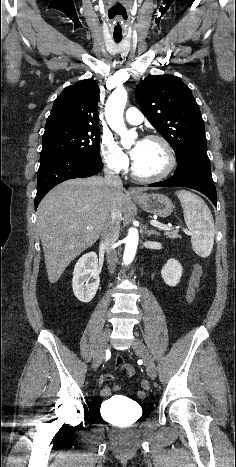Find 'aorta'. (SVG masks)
<instances>
[{
    "label": "aorta",
    "instance_id": "aorta-1",
    "mask_svg": "<svg viewBox=\"0 0 236 467\" xmlns=\"http://www.w3.org/2000/svg\"><path fill=\"white\" fill-rule=\"evenodd\" d=\"M127 98L128 94L124 88H116L109 96L105 107V117L109 126L113 131L120 134L122 138L128 135L123 119ZM138 240L137 229L130 228L125 238V250L123 255V262L125 264H130L133 261L138 246Z\"/></svg>",
    "mask_w": 236,
    "mask_h": 467
}]
</instances>
